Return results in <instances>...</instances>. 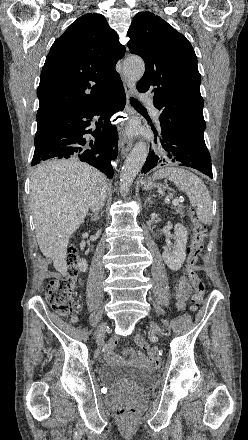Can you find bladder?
Returning a JSON list of instances; mask_svg holds the SVG:
<instances>
[{
  "label": "bladder",
  "mask_w": 248,
  "mask_h": 440,
  "mask_svg": "<svg viewBox=\"0 0 248 440\" xmlns=\"http://www.w3.org/2000/svg\"><path fill=\"white\" fill-rule=\"evenodd\" d=\"M98 373L104 382L118 390L143 389L155 380L152 370L136 366L103 364Z\"/></svg>",
  "instance_id": "1"
}]
</instances>
